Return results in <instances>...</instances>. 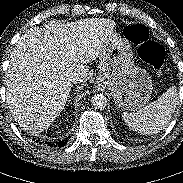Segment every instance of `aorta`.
Instances as JSON below:
<instances>
[{
	"label": "aorta",
	"mask_w": 183,
	"mask_h": 183,
	"mask_svg": "<svg viewBox=\"0 0 183 183\" xmlns=\"http://www.w3.org/2000/svg\"><path fill=\"white\" fill-rule=\"evenodd\" d=\"M91 104L95 109H104L107 105V99L102 94H97L92 97Z\"/></svg>",
	"instance_id": "762f6f07"
}]
</instances>
